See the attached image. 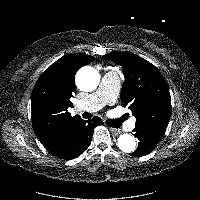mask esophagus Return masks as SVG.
Instances as JSON below:
<instances>
[{
	"label": "esophagus",
	"instance_id": "obj_1",
	"mask_svg": "<svg viewBox=\"0 0 200 200\" xmlns=\"http://www.w3.org/2000/svg\"><path fill=\"white\" fill-rule=\"evenodd\" d=\"M109 129H110V131H111L112 133H114V134L120 133V130L117 129V128H112V127H110Z\"/></svg>",
	"mask_w": 200,
	"mask_h": 200
}]
</instances>
